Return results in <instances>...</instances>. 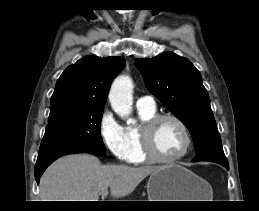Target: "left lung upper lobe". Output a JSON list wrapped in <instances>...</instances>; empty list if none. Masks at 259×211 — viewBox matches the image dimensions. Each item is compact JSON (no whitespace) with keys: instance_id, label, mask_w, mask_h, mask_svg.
<instances>
[{"instance_id":"5c2ea615","label":"left lung upper lobe","mask_w":259,"mask_h":211,"mask_svg":"<svg viewBox=\"0 0 259 211\" xmlns=\"http://www.w3.org/2000/svg\"><path fill=\"white\" fill-rule=\"evenodd\" d=\"M148 90L190 131L196 157L192 160L228 163L201 74L186 58L165 52L135 61Z\"/></svg>"}]
</instances>
